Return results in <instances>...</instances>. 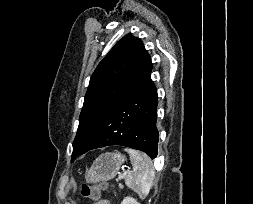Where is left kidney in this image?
<instances>
[{"mask_svg": "<svg viewBox=\"0 0 253 204\" xmlns=\"http://www.w3.org/2000/svg\"><path fill=\"white\" fill-rule=\"evenodd\" d=\"M121 204H140V203L137 202L136 199H134L132 197H126V198L123 199Z\"/></svg>", "mask_w": 253, "mask_h": 204, "instance_id": "1", "label": "left kidney"}]
</instances>
